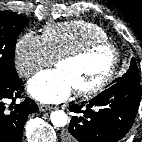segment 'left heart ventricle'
<instances>
[{
	"label": "left heart ventricle",
	"mask_w": 142,
	"mask_h": 142,
	"mask_svg": "<svg viewBox=\"0 0 142 142\" xmlns=\"http://www.w3.org/2000/svg\"><path fill=\"white\" fill-rule=\"evenodd\" d=\"M112 62L111 51L100 48L76 61H63L57 65L70 79L73 88H87L97 83Z\"/></svg>",
	"instance_id": "left-heart-ventricle-1"
}]
</instances>
